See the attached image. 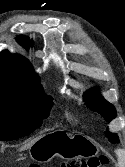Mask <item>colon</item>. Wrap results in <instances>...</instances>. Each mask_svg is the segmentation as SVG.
Returning <instances> with one entry per match:
<instances>
[{
  "label": "colon",
  "mask_w": 125,
  "mask_h": 167,
  "mask_svg": "<svg viewBox=\"0 0 125 167\" xmlns=\"http://www.w3.org/2000/svg\"><path fill=\"white\" fill-rule=\"evenodd\" d=\"M108 160L107 156L99 155L89 159H75L70 162H64L59 167H106Z\"/></svg>",
  "instance_id": "colon-1"
}]
</instances>
